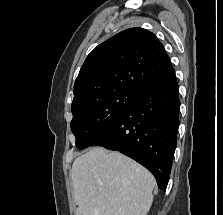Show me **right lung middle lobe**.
<instances>
[{
  "instance_id": "obj_1",
  "label": "right lung middle lobe",
  "mask_w": 223,
  "mask_h": 215,
  "mask_svg": "<svg viewBox=\"0 0 223 215\" xmlns=\"http://www.w3.org/2000/svg\"><path fill=\"white\" fill-rule=\"evenodd\" d=\"M137 96L131 91L116 90L72 108L71 130L76 146H91L110 130Z\"/></svg>"
}]
</instances>
